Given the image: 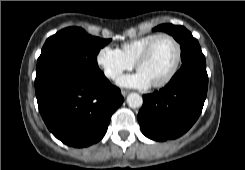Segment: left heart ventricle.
<instances>
[{
  "mask_svg": "<svg viewBox=\"0 0 245 170\" xmlns=\"http://www.w3.org/2000/svg\"><path fill=\"white\" fill-rule=\"evenodd\" d=\"M176 58V48L168 38L160 39L152 49L150 56L139 66L150 83L162 80L171 70Z\"/></svg>",
  "mask_w": 245,
  "mask_h": 170,
  "instance_id": "left-heart-ventricle-1",
  "label": "left heart ventricle"
}]
</instances>
